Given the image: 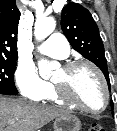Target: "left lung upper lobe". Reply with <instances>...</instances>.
Masks as SVG:
<instances>
[{
    "instance_id": "left-lung-upper-lobe-1",
    "label": "left lung upper lobe",
    "mask_w": 117,
    "mask_h": 131,
    "mask_svg": "<svg viewBox=\"0 0 117 131\" xmlns=\"http://www.w3.org/2000/svg\"><path fill=\"white\" fill-rule=\"evenodd\" d=\"M61 27L73 49L102 70L110 90L103 42L90 12L77 3H68L62 10Z\"/></svg>"
}]
</instances>
